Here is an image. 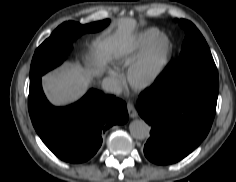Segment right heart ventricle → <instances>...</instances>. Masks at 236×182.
Instances as JSON below:
<instances>
[{"mask_svg":"<svg viewBox=\"0 0 236 182\" xmlns=\"http://www.w3.org/2000/svg\"><path fill=\"white\" fill-rule=\"evenodd\" d=\"M159 31L154 28H147L136 34L125 47L116 54V58L123 66L133 64L150 46Z\"/></svg>","mask_w":236,"mask_h":182,"instance_id":"right-heart-ventricle-1","label":"right heart ventricle"}]
</instances>
